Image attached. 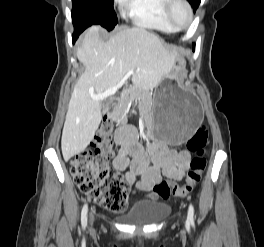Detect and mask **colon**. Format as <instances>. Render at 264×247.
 Here are the masks:
<instances>
[{
  "instance_id": "colon-1",
  "label": "colon",
  "mask_w": 264,
  "mask_h": 247,
  "mask_svg": "<svg viewBox=\"0 0 264 247\" xmlns=\"http://www.w3.org/2000/svg\"><path fill=\"white\" fill-rule=\"evenodd\" d=\"M113 125L105 120L98 128L91 147L79 152L72 160L71 174L78 189L99 206L117 213L127 209V186L123 175L110 168L113 155ZM208 130L200 126L187 142V149L195 154L183 185L161 181L154 187V194L163 199L170 196L189 195L206 168L205 150Z\"/></svg>"
}]
</instances>
